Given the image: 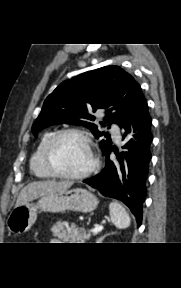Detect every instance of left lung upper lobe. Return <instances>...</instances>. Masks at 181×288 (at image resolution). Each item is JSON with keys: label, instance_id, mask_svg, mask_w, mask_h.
Masks as SVG:
<instances>
[{"label": "left lung upper lobe", "instance_id": "5c2ea615", "mask_svg": "<svg viewBox=\"0 0 181 288\" xmlns=\"http://www.w3.org/2000/svg\"><path fill=\"white\" fill-rule=\"evenodd\" d=\"M140 89L134 78L119 66H105L88 71L73 79L61 83L45 100L41 113L33 124L32 131L37 133L50 125L69 123L83 125L101 140V149L105 154L112 146L107 133L100 132L92 123L93 112L106 114L104 127L111 123L121 124L127 115Z\"/></svg>", "mask_w": 181, "mask_h": 288}]
</instances>
